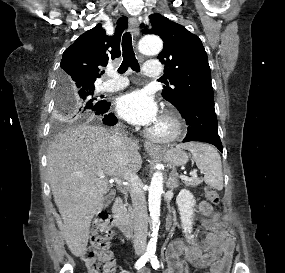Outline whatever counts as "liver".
<instances>
[{
	"label": "liver",
	"mask_w": 285,
	"mask_h": 273,
	"mask_svg": "<svg viewBox=\"0 0 285 273\" xmlns=\"http://www.w3.org/2000/svg\"><path fill=\"white\" fill-rule=\"evenodd\" d=\"M112 133L89 124L69 127L50 144L48 178L56 206L63 219L61 231L71 253L86 252L91 220L104 206L108 176L123 177L142 165L137 143L123 140L125 164L120 166L111 145ZM102 171L104 177L97 176Z\"/></svg>",
	"instance_id": "6515ba94"
}]
</instances>
